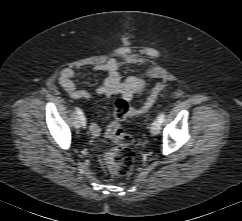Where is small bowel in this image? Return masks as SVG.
<instances>
[{"instance_id": "small-bowel-1", "label": "small bowel", "mask_w": 242, "mask_h": 221, "mask_svg": "<svg viewBox=\"0 0 242 221\" xmlns=\"http://www.w3.org/2000/svg\"><path fill=\"white\" fill-rule=\"evenodd\" d=\"M122 62L138 64L140 63V59L136 55L122 50L119 52L118 57L110 58L106 63L96 66L94 73H103L106 77L102 86L95 93L79 89L76 86L75 80L87 78L90 74L79 73L72 68H63L61 70L59 84L72 99L91 100L95 96L112 98L119 95L121 98L129 101L135 96L142 95L148 85L142 76H129L122 79L119 74V68ZM89 130L92 135L98 136L101 128L96 122H92Z\"/></svg>"}]
</instances>
